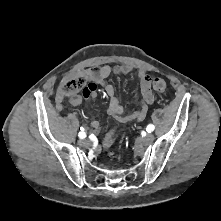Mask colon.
I'll return each instance as SVG.
<instances>
[{"label": "colon", "instance_id": "obj_1", "mask_svg": "<svg viewBox=\"0 0 221 221\" xmlns=\"http://www.w3.org/2000/svg\"><path fill=\"white\" fill-rule=\"evenodd\" d=\"M86 85L87 82L83 76H71L63 82L60 88V92L63 96L76 94L81 92V90L85 88ZM166 87L167 84L162 78H155L153 80V88L155 91L162 93L166 90Z\"/></svg>", "mask_w": 221, "mask_h": 221}]
</instances>
